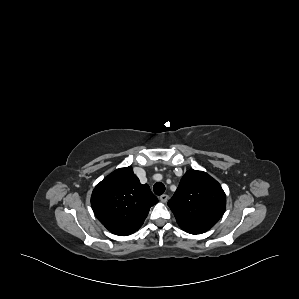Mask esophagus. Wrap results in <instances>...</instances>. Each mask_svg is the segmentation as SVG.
I'll return each mask as SVG.
<instances>
[{"instance_id":"obj_1","label":"esophagus","mask_w":299,"mask_h":299,"mask_svg":"<svg viewBox=\"0 0 299 299\" xmlns=\"http://www.w3.org/2000/svg\"><path fill=\"white\" fill-rule=\"evenodd\" d=\"M160 201L163 203H166L169 199V196L167 194H163L159 197Z\"/></svg>"}]
</instances>
